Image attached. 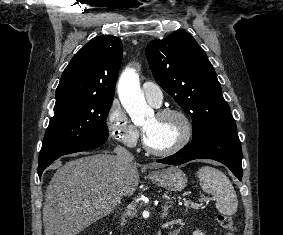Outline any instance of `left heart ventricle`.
<instances>
[{
    "label": "left heart ventricle",
    "instance_id": "left-heart-ventricle-1",
    "mask_svg": "<svg viewBox=\"0 0 283 235\" xmlns=\"http://www.w3.org/2000/svg\"><path fill=\"white\" fill-rule=\"evenodd\" d=\"M149 145L164 150L173 146L183 132V125L175 116L157 117L153 115L142 126Z\"/></svg>",
    "mask_w": 283,
    "mask_h": 235
}]
</instances>
